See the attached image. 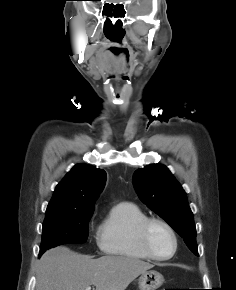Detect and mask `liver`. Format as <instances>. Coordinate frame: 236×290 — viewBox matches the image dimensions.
Returning a JSON list of instances; mask_svg holds the SVG:
<instances>
[{
    "mask_svg": "<svg viewBox=\"0 0 236 290\" xmlns=\"http://www.w3.org/2000/svg\"><path fill=\"white\" fill-rule=\"evenodd\" d=\"M153 268L140 259L103 256L92 259L59 246L46 251L36 269V290H125L139 275Z\"/></svg>",
    "mask_w": 236,
    "mask_h": 290,
    "instance_id": "6515ba94",
    "label": "liver"
}]
</instances>
